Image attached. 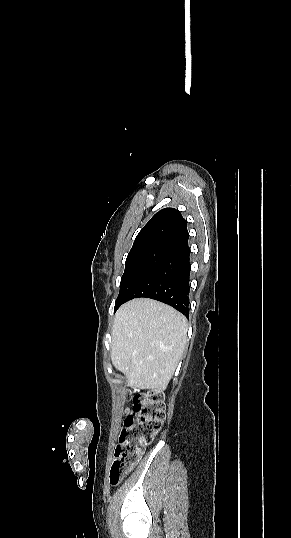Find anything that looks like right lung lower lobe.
<instances>
[{
    "label": "right lung lower lobe",
    "instance_id": "1",
    "mask_svg": "<svg viewBox=\"0 0 291 538\" xmlns=\"http://www.w3.org/2000/svg\"><path fill=\"white\" fill-rule=\"evenodd\" d=\"M190 248L188 242L171 250L141 280L129 299L147 297L166 303L189 316Z\"/></svg>",
    "mask_w": 291,
    "mask_h": 538
}]
</instances>
